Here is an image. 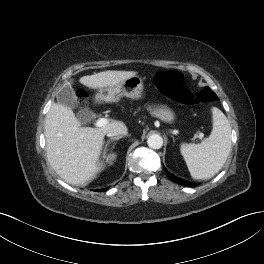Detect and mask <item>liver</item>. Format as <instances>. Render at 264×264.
<instances>
[{
  "label": "liver",
  "mask_w": 264,
  "mask_h": 264,
  "mask_svg": "<svg viewBox=\"0 0 264 264\" xmlns=\"http://www.w3.org/2000/svg\"><path fill=\"white\" fill-rule=\"evenodd\" d=\"M135 71H104L83 76L80 83L92 89L114 86L135 76ZM127 130L121 121L104 127H82L70 108L53 103L45 120L47 158L54 171L67 183L85 186L101 170L104 137L109 131Z\"/></svg>",
  "instance_id": "liver-1"
}]
</instances>
